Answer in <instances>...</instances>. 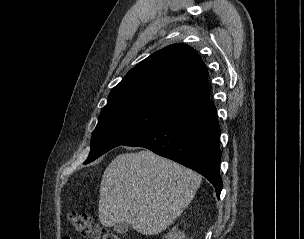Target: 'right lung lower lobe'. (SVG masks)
Masks as SVG:
<instances>
[{
    "label": "right lung lower lobe",
    "mask_w": 304,
    "mask_h": 239,
    "mask_svg": "<svg viewBox=\"0 0 304 239\" xmlns=\"http://www.w3.org/2000/svg\"><path fill=\"white\" fill-rule=\"evenodd\" d=\"M219 137L216 108L208 100L124 145L148 148L197 171L213 184L219 198L222 189Z\"/></svg>",
    "instance_id": "right-lung-lower-lobe-1"
}]
</instances>
